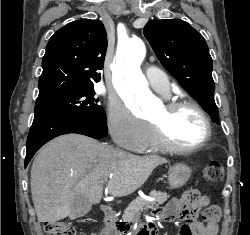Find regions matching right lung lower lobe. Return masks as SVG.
Returning a JSON list of instances; mask_svg holds the SVG:
<instances>
[{
  "label": "right lung lower lobe",
  "instance_id": "right-lung-lower-lobe-1",
  "mask_svg": "<svg viewBox=\"0 0 250 235\" xmlns=\"http://www.w3.org/2000/svg\"><path fill=\"white\" fill-rule=\"evenodd\" d=\"M107 131L106 123L83 116L59 112L35 113L27 138L25 167L39 148L59 135L77 133L101 139Z\"/></svg>",
  "mask_w": 250,
  "mask_h": 235
}]
</instances>
